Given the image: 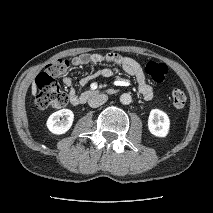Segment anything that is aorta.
<instances>
[{
	"label": "aorta",
	"instance_id": "762f6f07",
	"mask_svg": "<svg viewBox=\"0 0 213 213\" xmlns=\"http://www.w3.org/2000/svg\"><path fill=\"white\" fill-rule=\"evenodd\" d=\"M120 102L124 105H128L132 102V97L130 94L128 93H123L121 96H120Z\"/></svg>",
	"mask_w": 213,
	"mask_h": 213
}]
</instances>
